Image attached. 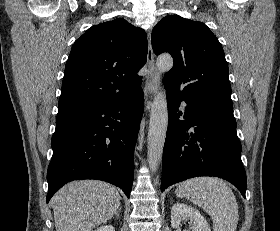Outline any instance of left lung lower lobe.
<instances>
[{"instance_id":"left-lung-lower-lobe-1","label":"left lung lower lobe","mask_w":280,"mask_h":231,"mask_svg":"<svg viewBox=\"0 0 280 231\" xmlns=\"http://www.w3.org/2000/svg\"><path fill=\"white\" fill-rule=\"evenodd\" d=\"M166 91L169 125L163 151L161 191L188 178L215 176L235 185L245 198L246 173L233 108ZM180 101L187 103L183 121L179 120ZM191 127L193 132L188 131Z\"/></svg>"}]
</instances>
